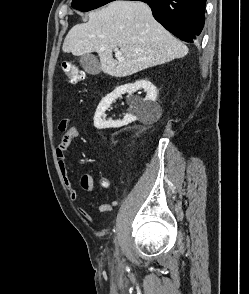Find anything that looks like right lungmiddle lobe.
<instances>
[{
	"instance_id": "1",
	"label": "right lung middle lobe",
	"mask_w": 249,
	"mask_h": 294,
	"mask_svg": "<svg viewBox=\"0 0 249 294\" xmlns=\"http://www.w3.org/2000/svg\"><path fill=\"white\" fill-rule=\"evenodd\" d=\"M111 1L114 0H73L72 6L77 10L86 12L101 7Z\"/></svg>"
}]
</instances>
